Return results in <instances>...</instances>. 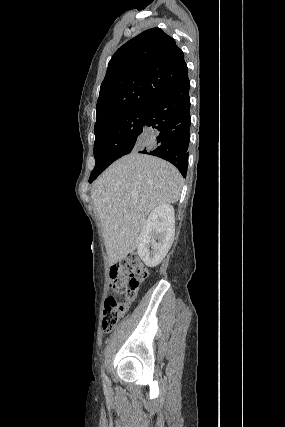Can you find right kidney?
Here are the masks:
<instances>
[{"mask_svg":"<svg viewBox=\"0 0 285 427\" xmlns=\"http://www.w3.org/2000/svg\"><path fill=\"white\" fill-rule=\"evenodd\" d=\"M175 234L174 208L157 206L145 220L137 244L140 259L148 266H157L170 249Z\"/></svg>","mask_w":285,"mask_h":427,"instance_id":"obj_1","label":"right kidney"}]
</instances>
